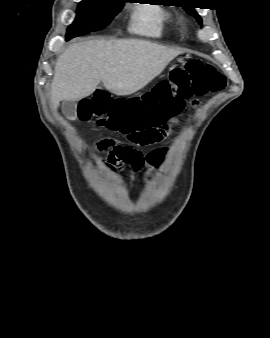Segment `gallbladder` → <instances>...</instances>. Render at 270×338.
Here are the masks:
<instances>
[{
    "mask_svg": "<svg viewBox=\"0 0 270 338\" xmlns=\"http://www.w3.org/2000/svg\"><path fill=\"white\" fill-rule=\"evenodd\" d=\"M77 102L75 101H62L63 113L69 118H76Z\"/></svg>",
    "mask_w": 270,
    "mask_h": 338,
    "instance_id": "gallbladder-1",
    "label": "gallbladder"
}]
</instances>
